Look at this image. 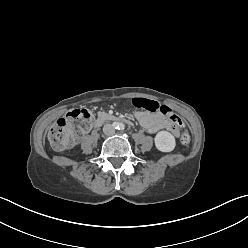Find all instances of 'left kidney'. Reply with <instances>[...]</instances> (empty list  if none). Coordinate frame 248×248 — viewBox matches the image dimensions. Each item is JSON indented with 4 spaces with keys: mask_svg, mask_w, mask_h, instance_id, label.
<instances>
[{
    "mask_svg": "<svg viewBox=\"0 0 248 248\" xmlns=\"http://www.w3.org/2000/svg\"><path fill=\"white\" fill-rule=\"evenodd\" d=\"M154 140L156 148L161 152H171L176 145L174 136L167 131L158 132Z\"/></svg>",
    "mask_w": 248,
    "mask_h": 248,
    "instance_id": "obj_1",
    "label": "left kidney"
}]
</instances>
